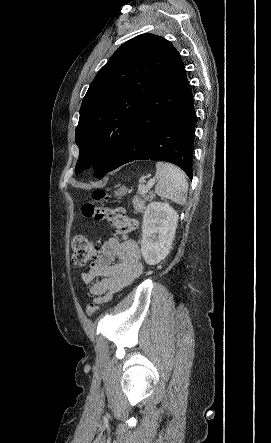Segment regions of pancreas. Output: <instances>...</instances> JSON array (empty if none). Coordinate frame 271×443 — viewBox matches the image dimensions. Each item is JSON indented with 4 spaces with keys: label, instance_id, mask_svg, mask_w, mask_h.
Listing matches in <instances>:
<instances>
[{
    "label": "pancreas",
    "instance_id": "1",
    "mask_svg": "<svg viewBox=\"0 0 271 443\" xmlns=\"http://www.w3.org/2000/svg\"><path fill=\"white\" fill-rule=\"evenodd\" d=\"M148 198H151V200H153V194H150V196H148ZM148 198H145V200H148ZM132 204L135 208V214H138V212H140V214H143V212L145 210L144 200H141V198H138V196H135V198H133Z\"/></svg>",
    "mask_w": 271,
    "mask_h": 443
}]
</instances>
